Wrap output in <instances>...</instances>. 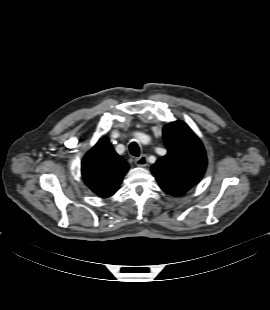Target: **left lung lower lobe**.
Segmentation results:
<instances>
[{"label":"left lung lower lobe","mask_w":270,"mask_h":310,"mask_svg":"<svg viewBox=\"0 0 270 310\" xmlns=\"http://www.w3.org/2000/svg\"><path fill=\"white\" fill-rule=\"evenodd\" d=\"M169 194L174 195V196H180V195H182L184 193H182V192H171Z\"/></svg>","instance_id":"obj_1"}]
</instances>
